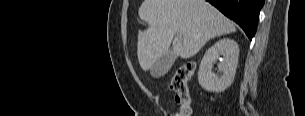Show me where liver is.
<instances>
[{
    "label": "liver",
    "mask_w": 305,
    "mask_h": 116,
    "mask_svg": "<svg viewBox=\"0 0 305 116\" xmlns=\"http://www.w3.org/2000/svg\"><path fill=\"white\" fill-rule=\"evenodd\" d=\"M139 17L149 27L138 33L137 56L144 71L168 51L190 58L210 39L236 32L232 21L205 0H144ZM181 34L174 38L175 34Z\"/></svg>",
    "instance_id": "6515ba94"
}]
</instances>
